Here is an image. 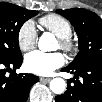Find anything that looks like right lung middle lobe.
Wrapping results in <instances>:
<instances>
[{
    "instance_id": "obj_1",
    "label": "right lung middle lobe",
    "mask_w": 102,
    "mask_h": 102,
    "mask_svg": "<svg viewBox=\"0 0 102 102\" xmlns=\"http://www.w3.org/2000/svg\"><path fill=\"white\" fill-rule=\"evenodd\" d=\"M37 14L35 10L0 3V60H11L22 55L18 42L19 30L24 22Z\"/></svg>"
}]
</instances>
